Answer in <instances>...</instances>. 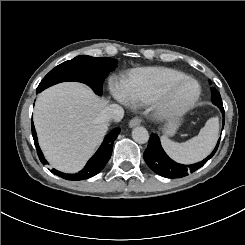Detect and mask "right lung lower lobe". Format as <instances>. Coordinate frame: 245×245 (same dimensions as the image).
<instances>
[{
  "label": "right lung lower lobe",
  "mask_w": 245,
  "mask_h": 245,
  "mask_svg": "<svg viewBox=\"0 0 245 245\" xmlns=\"http://www.w3.org/2000/svg\"><path fill=\"white\" fill-rule=\"evenodd\" d=\"M119 132L120 128H115L105 137L102 145L100 146L96 154L87 162L86 166L80 172L76 174H65L57 171L56 169H52L51 172L64 179L74 181L84 180L95 176L104 168L109 158L111 157L114 140L117 138ZM32 135L40 161L42 162V164H47V161L38 146L37 135L33 126V122Z\"/></svg>",
  "instance_id": "1"
}]
</instances>
